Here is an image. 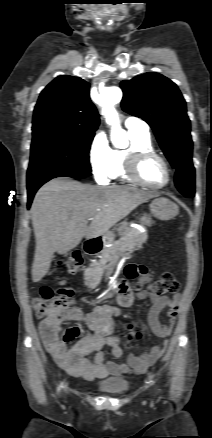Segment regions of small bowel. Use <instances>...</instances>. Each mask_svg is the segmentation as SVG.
Wrapping results in <instances>:
<instances>
[{
    "mask_svg": "<svg viewBox=\"0 0 212 438\" xmlns=\"http://www.w3.org/2000/svg\"><path fill=\"white\" fill-rule=\"evenodd\" d=\"M129 279L138 278L137 286L150 282L153 276L145 265L130 264L125 269ZM134 298L147 300L152 303L148 311V323L152 333L158 339H166L172 330L177 317L180 294L173 298L166 296L149 295L144 291L132 292L123 285L118 295L119 307L102 306L95 308L88 315H83L77 308L63 306L60 311V320L84 323L88 332L71 346L60 338L56 324L43 320L39 325V332L43 342L59 367L74 377L86 380L104 378L108 375L129 373H143L152 366L165 350L166 341L157 343L141 355L127 354L126 362L122 360L124 349L120 339L114 335V318L121 312V308H129ZM167 309L169 324L161 321V312ZM139 335H129L128 339L138 338ZM109 353L113 360L105 361ZM90 355H93L90 359Z\"/></svg>",
    "mask_w": 212,
    "mask_h": 438,
    "instance_id": "obj_1",
    "label": "small bowel"
}]
</instances>
